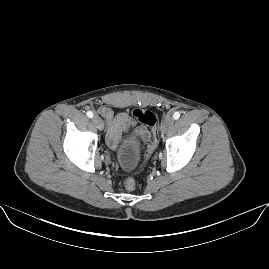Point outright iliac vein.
I'll list each match as a JSON object with an SVG mask.
<instances>
[{
  "mask_svg": "<svg viewBox=\"0 0 269 269\" xmlns=\"http://www.w3.org/2000/svg\"><path fill=\"white\" fill-rule=\"evenodd\" d=\"M92 121L93 123L96 125V127L99 129V130H102L103 127H104V123L102 121V119L98 116V115H95L93 118H92Z\"/></svg>",
  "mask_w": 269,
  "mask_h": 269,
  "instance_id": "63e3f726",
  "label": "right iliac vein"
}]
</instances>
